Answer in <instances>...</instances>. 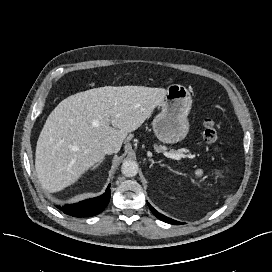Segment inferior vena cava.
Segmentation results:
<instances>
[{"label":"inferior vena cava","mask_w":272,"mask_h":272,"mask_svg":"<svg viewBox=\"0 0 272 272\" xmlns=\"http://www.w3.org/2000/svg\"><path fill=\"white\" fill-rule=\"evenodd\" d=\"M102 151L104 152V154H113V153H117L118 152V147L116 144L114 143H104L102 145Z\"/></svg>","instance_id":"602c4592"}]
</instances>
